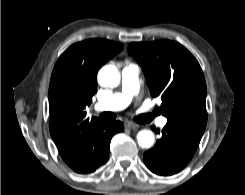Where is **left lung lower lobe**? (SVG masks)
<instances>
[{
    "label": "left lung lower lobe",
    "mask_w": 245,
    "mask_h": 195,
    "mask_svg": "<svg viewBox=\"0 0 245 195\" xmlns=\"http://www.w3.org/2000/svg\"><path fill=\"white\" fill-rule=\"evenodd\" d=\"M202 135L201 131L167 122L161 139L144 153L145 165L157 175L169 176L178 173L191 160Z\"/></svg>",
    "instance_id": "left-lung-lower-lobe-1"
}]
</instances>
